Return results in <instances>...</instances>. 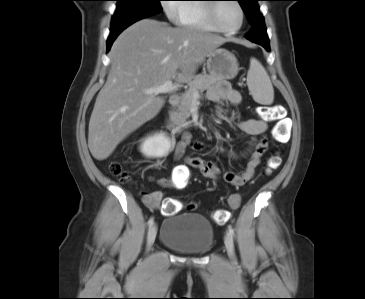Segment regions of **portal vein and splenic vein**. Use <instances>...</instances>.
Segmentation results:
<instances>
[{
  "instance_id": "1",
  "label": "portal vein and splenic vein",
  "mask_w": 365,
  "mask_h": 299,
  "mask_svg": "<svg viewBox=\"0 0 365 299\" xmlns=\"http://www.w3.org/2000/svg\"><path fill=\"white\" fill-rule=\"evenodd\" d=\"M178 88H179L178 84H173L172 81L169 80V81H166L164 84H162L160 86L146 89L145 93L150 94V95L173 93V92L177 91ZM193 96H194V98H198L199 93L195 92L193 94Z\"/></svg>"
}]
</instances>
